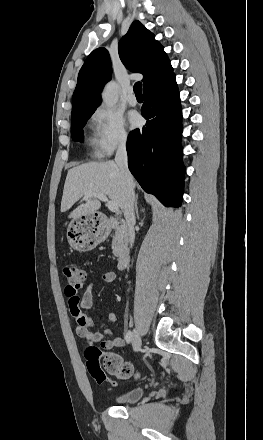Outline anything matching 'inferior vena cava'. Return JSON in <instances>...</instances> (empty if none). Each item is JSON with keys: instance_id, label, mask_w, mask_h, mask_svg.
<instances>
[{"instance_id": "obj_1", "label": "inferior vena cava", "mask_w": 263, "mask_h": 440, "mask_svg": "<svg viewBox=\"0 0 263 440\" xmlns=\"http://www.w3.org/2000/svg\"><path fill=\"white\" fill-rule=\"evenodd\" d=\"M115 163L119 167L122 182H123V211L124 217L128 226V237L129 243L132 246L135 238L134 224H135V213H134V202L135 193L132 184V175L128 169V155L126 150V138H123L118 146Z\"/></svg>"}]
</instances>
